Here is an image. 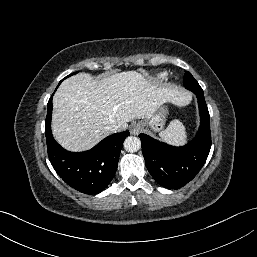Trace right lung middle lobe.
Listing matches in <instances>:
<instances>
[{
    "instance_id": "right-lung-middle-lobe-1",
    "label": "right lung middle lobe",
    "mask_w": 257,
    "mask_h": 257,
    "mask_svg": "<svg viewBox=\"0 0 257 257\" xmlns=\"http://www.w3.org/2000/svg\"><path fill=\"white\" fill-rule=\"evenodd\" d=\"M74 74H76V72H75V73H72V74H70V75H68L67 77H69V76H71V75H74ZM67 77H65V78H67ZM65 78H64V79H65Z\"/></svg>"
}]
</instances>
